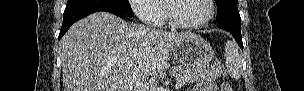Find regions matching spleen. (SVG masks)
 Here are the masks:
<instances>
[{
    "label": "spleen",
    "instance_id": "obj_1",
    "mask_svg": "<svg viewBox=\"0 0 304 91\" xmlns=\"http://www.w3.org/2000/svg\"><path fill=\"white\" fill-rule=\"evenodd\" d=\"M226 68L231 77L239 79L242 73V60L233 42L229 41L225 47Z\"/></svg>",
    "mask_w": 304,
    "mask_h": 91
}]
</instances>
